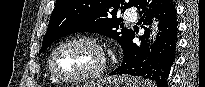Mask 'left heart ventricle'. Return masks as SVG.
Masks as SVG:
<instances>
[{"mask_svg": "<svg viewBox=\"0 0 205 87\" xmlns=\"http://www.w3.org/2000/svg\"><path fill=\"white\" fill-rule=\"evenodd\" d=\"M100 63V54L85 43H72L56 55V70L65 76L82 75L95 70Z\"/></svg>", "mask_w": 205, "mask_h": 87, "instance_id": "obj_1", "label": "left heart ventricle"}]
</instances>
